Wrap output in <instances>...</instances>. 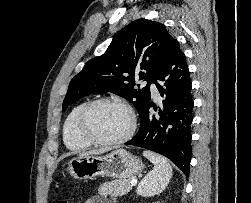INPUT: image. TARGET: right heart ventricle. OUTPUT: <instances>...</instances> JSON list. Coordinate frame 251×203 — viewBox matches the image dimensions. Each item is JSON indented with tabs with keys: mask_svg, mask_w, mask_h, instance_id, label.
<instances>
[{
	"mask_svg": "<svg viewBox=\"0 0 251 203\" xmlns=\"http://www.w3.org/2000/svg\"><path fill=\"white\" fill-rule=\"evenodd\" d=\"M85 103L74 106L67 114L62 127V136L65 146L71 151H82L90 144L82 140L76 133L75 122L77 115Z\"/></svg>",
	"mask_w": 251,
	"mask_h": 203,
	"instance_id": "e07e8e85",
	"label": "right heart ventricle"
}]
</instances>
